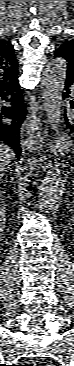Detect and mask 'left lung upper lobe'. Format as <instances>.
<instances>
[{"label":"left lung upper lobe","instance_id":"1","mask_svg":"<svg viewBox=\"0 0 74 366\" xmlns=\"http://www.w3.org/2000/svg\"><path fill=\"white\" fill-rule=\"evenodd\" d=\"M56 57H62L67 61L69 71L74 72V41H66L56 51Z\"/></svg>","mask_w":74,"mask_h":366}]
</instances>
